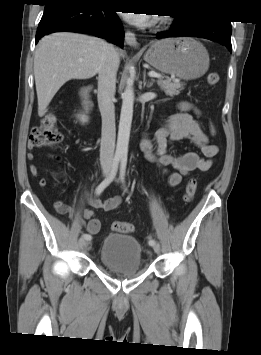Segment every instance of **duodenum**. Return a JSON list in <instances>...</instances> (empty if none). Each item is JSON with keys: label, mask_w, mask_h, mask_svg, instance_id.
Instances as JSON below:
<instances>
[{"label": "duodenum", "mask_w": 261, "mask_h": 355, "mask_svg": "<svg viewBox=\"0 0 261 355\" xmlns=\"http://www.w3.org/2000/svg\"><path fill=\"white\" fill-rule=\"evenodd\" d=\"M90 91H91V87H84L82 90H81V98H82V102L85 106V108L87 110H92V102H91V99H90Z\"/></svg>", "instance_id": "duodenum-1"}]
</instances>
